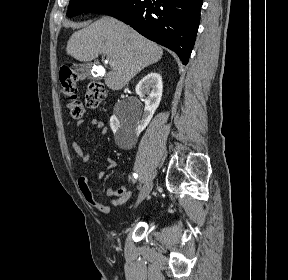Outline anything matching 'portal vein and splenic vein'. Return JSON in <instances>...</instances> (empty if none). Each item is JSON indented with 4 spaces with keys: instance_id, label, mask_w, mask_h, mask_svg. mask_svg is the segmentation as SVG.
Instances as JSON below:
<instances>
[{
    "instance_id": "obj_1",
    "label": "portal vein and splenic vein",
    "mask_w": 288,
    "mask_h": 280,
    "mask_svg": "<svg viewBox=\"0 0 288 280\" xmlns=\"http://www.w3.org/2000/svg\"><path fill=\"white\" fill-rule=\"evenodd\" d=\"M107 61H108V63L110 64L111 67L114 66V61L112 60L111 57L107 56Z\"/></svg>"
}]
</instances>
